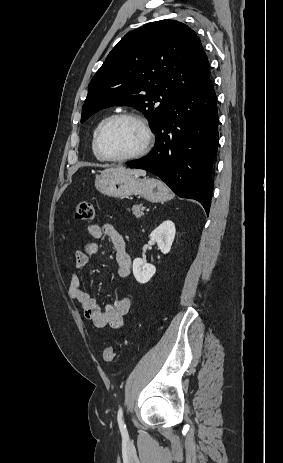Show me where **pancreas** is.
Returning a JSON list of instances; mask_svg holds the SVG:
<instances>
[{"mask_svg": "<svg viewBox=\"0 0 283 463\" xmlns=\"http://www.w3.org/2000/svg\"><path fill=\"white\" fill-rule=\"evenodd\" d=\"M144 209L145 207L142 204H139L132 206V208L129 209V211L131 210L136 218H141L144 215Z\"/></svg>", "mask_w": 283, "mask_h": 463, "instance_id": "pancreas-1", "label": "pancreas"}]
</instances>
